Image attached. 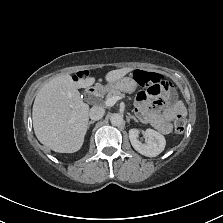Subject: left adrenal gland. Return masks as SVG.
Here are the masks:
<instances>
[{
    "instance_id": "1",
    "label": "left adrenal gland",
    "mask_w": 223,
    "mask_h": 223,
    "mask_svg": "<svg viewBox=\"0 0 223 223\" xmlns=\"http://www.w3.org/2000/svg\"><path fill=\"white\" fill-rule=\"evenodd\" d=\"M128 115H129V118L134 119V121H135V122H138V120L136 119V117H135V116L130 115L129 113H128Z\"/></svg>"
}]
</instances>
